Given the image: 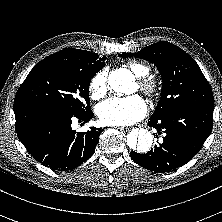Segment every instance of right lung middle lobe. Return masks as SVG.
Masks as SVG:
<instances>
[{"label": "right lung middle lobe", "instance_id": "right-lung-middle-lobe-1", "mask_svg": "<svg viewBox=\"0 0 222 222\" xmlns=\"http://www.w3.org/2000/svg\"><path fill=\"white\" fill-rule=\"evenodd\" d=\"M106 57H104L105 61ZM102 64L45 63L36 65L18 89L14 104L45 103L69 113L90 111L89 85Z\"/></svg>", "mask_w": 222, "mask_h": 222}]
</instances>
